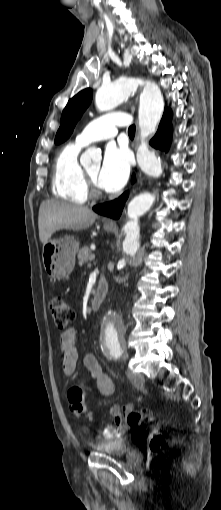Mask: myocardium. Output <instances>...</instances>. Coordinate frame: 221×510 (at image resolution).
<instances>
[{
  "label": "myocardium",
  "instance_id": "f54148a6",
  "mask_svg": "<svg viewBox=\"0 0 221 510\" xmlns=\"http://www.w3.org/2000/svg\"><path fill=\"white\" fill-rule=\"evenodd\" d=\"M85 186L87 196L93 199H99L103 197V192L99 188L98 184L90 177L87 171H84Z\"/></svg>",
  "mask_w": 221,
  "mask_h": 510
}]
</instances>
